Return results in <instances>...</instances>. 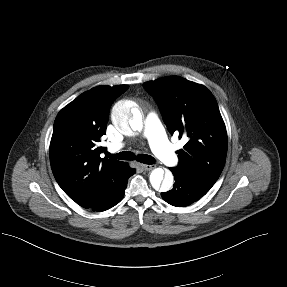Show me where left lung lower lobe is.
<instances>
[{"mask_svg":"<svg viewBox=\"0 0 287 287\" xmlns=\"http://www.w3.org/2000/svg\"><path fill=\"white\" fill-rule=\"evenodd\" d=\"M174 175L173 189L161 193L162 198L170 205L185 207L199 200L210 189L204 187L187 172L170 168Z\"/></svg>","mask_w":287,"mask_h":287,"instance_id":"1","label":"left lung lower lobe"}]
</instances>
